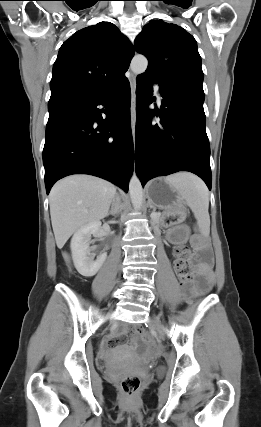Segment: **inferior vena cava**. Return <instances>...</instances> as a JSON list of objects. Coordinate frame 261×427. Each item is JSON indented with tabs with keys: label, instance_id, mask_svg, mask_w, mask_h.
I'll return each instance as SVG.
<instances>
[{
	"label": "inferior vena cava",
	"instance_id": "obj_1",
	"mask_svg": "<svg viewBox=\"0 0 261 427\" xmlns=\"http://www.w3.org/2000/svg\"><path fill=\"white\" fill-rule=\"evenodd\" d=\"M112 207L116 210V212H118L119 211V209H120V199L117 201H115V200H113V205H112Z\"/></svg>",
	"mask_w": 261,
	"mask_h": 427
}]
</instances>
